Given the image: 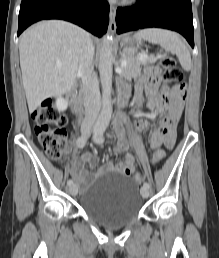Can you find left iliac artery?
Returning a JSON list of instances; mask_svg holds the SVG:
<instances>
[{"label":"left iliac artery","mask_w":219,"mask_h":258,"mask_svg":"<svg viewBox=\"0 0 219 258\" xmlns=\"http://www.w3.org/2000/svg\"><path fill=\"white\" fill-rule=\"evenodd\" d=\"M104 131V127H100L95 131L93 139L97 144H102L104 142ZM143 187L150 188V184L148 182H144Z\"/></svg>","instance_id":"obj_1"}]
</instances>
